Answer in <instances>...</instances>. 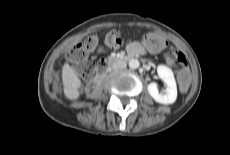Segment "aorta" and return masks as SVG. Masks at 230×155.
Wrapping results in <instances>:
<instances>
[{
    "instance_id": "aorta-1",
    "label": "aorta",
    "mask_w": 230,
    "mask_h": 155,
    "mask_svg": "<svg viewBox=\"0 0 230 155\" xmlns=\"http://www.w3.org/2000/svg\"><path fill=\"white\" fill-rule=\"evenodd\" d=\"M139 66H140L139 60H137V59H131L129 61V67L131 69H137V68H139Z\"/></svg>"
}]
</instances>
